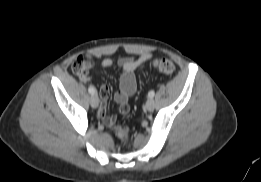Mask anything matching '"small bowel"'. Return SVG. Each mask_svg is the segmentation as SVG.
<instances>
[{"mask_svg":"<svg viewBox=\"0 0 261 182\" xmlns=\"http://www.w3.org/2000/svg\"><path fill=\"white\" fill-rule=\"evenodd\" d=\"M153 57L150 52H144L138 57H122L118 59L117 65L122 70L119 82V89L114 95L115 102L119 105V113L126 114L129 111L128 100L136 91V77L134 72L141 71L145 68L147 62ZM87 64L90 67H99L100 69H108L114 65L112 59L106 58L99 62L92 55H87ZM100 106L98 109L99 119L106 125L115 120L114 116L107 113L106 103L110 95L108 86L103 85L100 88Z\"/></svg>","mask_w":261,"mask_h":182,"instance_id":"small-bowel-1","label":"small bowel"}]
</instances>
